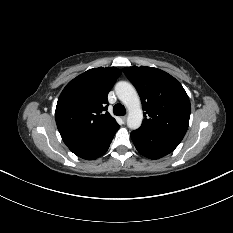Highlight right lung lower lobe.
Here are the masks:
<instances>
[{"mask_svg":"<svg viewBox=\"0 0 233 233\" xmlns=\"http://www.w3.org/2000/svg\"><path fill=\"white\" fill-rule=\"evenodd\" d=\"M119 129V125L114 127L112 130L102 133L96 138L89 140L87 142L74 144L68 146V148L77 156L87 159L93 160L101 155H103L109 148V145Z\"/></svg>","mask_w":233,"mask_h":233,"instance_id":"1","label":"right lung lower lobe"}]
</instances>
